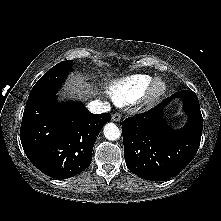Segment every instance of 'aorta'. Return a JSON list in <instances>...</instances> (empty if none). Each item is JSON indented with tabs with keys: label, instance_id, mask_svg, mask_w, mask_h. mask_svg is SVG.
<instances>
[{
	"label": "aorta",
	"instance_id": "obj_1",
	"mask_svg": "<svg viewBox=\"0 0 221 221\" xmlns=\"http://www.w3.org/2000/svg\"><path fill=\"white\" fill-rule=\"evenodd\" d=\"M103 134L108 140L114 141L120 138L121 132L116 124L110 122L104 126Z\"/></svg>",
	"mask_w": 221,
	"mask_h": 221
}]
</instances>
